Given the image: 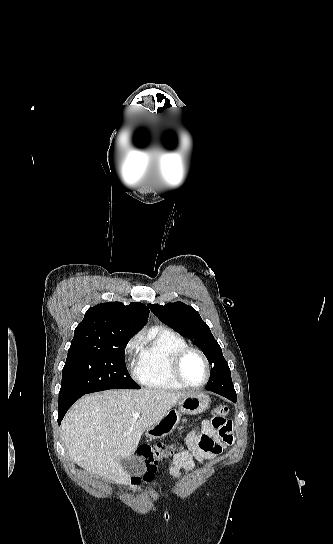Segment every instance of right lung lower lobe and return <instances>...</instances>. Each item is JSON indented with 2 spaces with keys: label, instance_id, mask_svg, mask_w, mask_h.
<instances>
[{
  "label": "right lung lower lobe",
  "instance_id": "1",
  "mask_svg": "<svg viewBox=\"0 0 333 544\" xmlns=\"http://www.w3.org/2000/svg\"><path fill=\"white\" fill-rule=\"evenodd\" d=\"M83 394L74 395L72 393L59 394V404H58V424L60 425L64 415L72 404L78 400Z\"/></svg>",
  "mask_w": 333,
  "mask_h": 544
}]
</instances>
